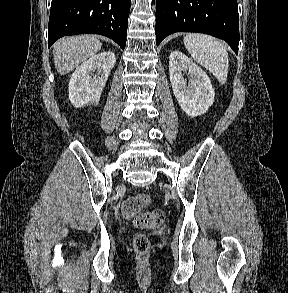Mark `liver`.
<instances>
[{"label":"liver","mask_w":288,"mask_h":293,"mask_svg":"<svg viewBox=\"0 0 288 293\" xmlns=\"http://www.w3.org/2000/svg\"><path fill=\"white\" fill-rule=\"evenodd\" d=\"M102 43L93 36L79 35L64 37L53 45L55 67L64 75L100 51Z\"/></svg>","instance_id":"obj_1"}]
</instances>
